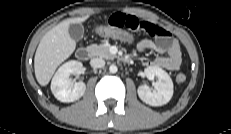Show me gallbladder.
I'll use <instances>...</instances> for the list:
<instances>
[{
    "instance_id": "gallbladder-1",
    "label": "gallbladder",
    "mask_w": 231,
    "mask_h": 134,
    "mask_svg": "<svg viewBox=\"0 0 231 134\" xmlns=\"http://www.w3.org/2000/svg\"><path fill=\"white\" fill-rule=\"evenodd\" d=\"M68 32L72 39L79 41L83 37L84 28L81 24H70Z\"/></svg>"
}]
</instances>
